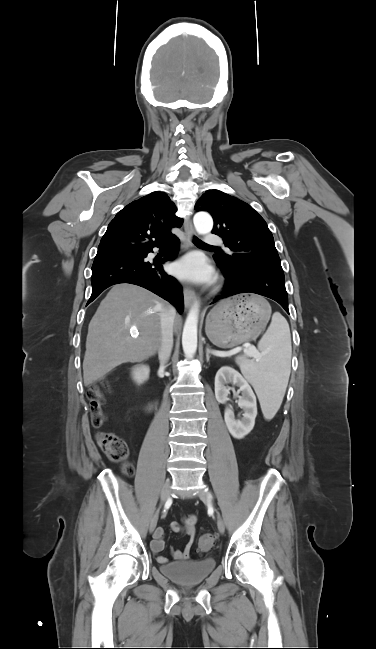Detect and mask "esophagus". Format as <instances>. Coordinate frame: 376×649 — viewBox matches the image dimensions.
<instances>
[{
	"label": "esophagus",
	"mask_w": 376,
	"mask_h": 649,
	"mask_svg": "<svg viewBox=\"0 0 376 649\" xmlns=\"http://www.w3.org/2000/svg\"><path fill=\"white\" fill-rule=\"evenodd\" d=\"M184 230H185V238H186V243L187 245H191V241L195 235V230L194 227L190 221V219H187L184 223ZM196 300V295L194 290L185 287L184 288V303L186 308H190V306L195 302Z\"/></svg>",
	"instance_id": "esophagus-1"
}]
</instances>
